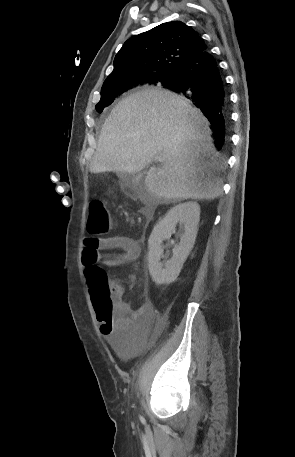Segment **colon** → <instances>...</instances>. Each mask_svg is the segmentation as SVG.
<instances>
[{"label": "colon", "mask_w": 295, "mask_h": 457, "mask_svg": "<svg viewBox=\"0 0 295 457\" xmlns=\"http://www.w3.org/2000/svg\"><path fill=\"white\" fill-rule=\"evenodd\" d=\"M111 225L112 218L107 202L101 198L91 201L87 218L89 232L103 234L111 229ZM84 272L98 319L110 322L115 315L117 303L114 286L97 263H88Z\"/></svg>", "instance_id": "colon-1"}]
</instances>
